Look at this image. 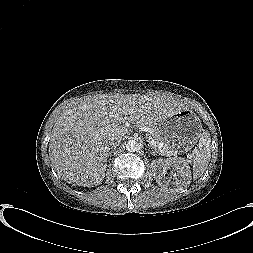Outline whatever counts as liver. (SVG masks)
I'll return each mask as SVG.
<instances>
[{"label":"liver","mask_w":253,"mask_h":253,"mask_svg":"<svg viewBox=\"0 0 253 253\" xmlns=\"http://www.w3.org/2000/svg\"><path fill=\"white\" fill-rule=\"evenodd\" d=\"M188 106L169 94H96L64 109L52 129L49 157L59 176L91 187L105 177L110 142L128 129L123 117L136 125H155Z\"/></svg>","instance_id":"obj_1"}]
</instances>
